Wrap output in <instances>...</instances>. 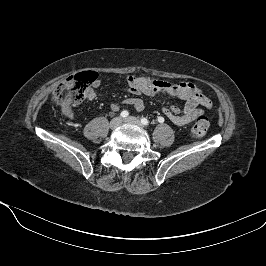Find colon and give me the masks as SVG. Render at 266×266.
Returning a JSON list of instances; mask_svg holds the SVG:
<instances>
[{
    "mask_svg": "<svg viewBox=\"0 0 266 266\" xmlns=\"http://www.w3.org/2000/svg\"><path fill=\"white\" fill-rule=\"evenodd\" d=\"M97 80L95 72H85L73 75L61 83L52 95L54 104L63 109L81 103L86 98L88 87ZM209 122L206 118L200 117L191 128V137L201 139L207 133Z\"/></svg>",
    "mask_w": 266,
    "mask_h": 266,
    "instance_id": "1",
    "label": "colon"
}]
</instances>
